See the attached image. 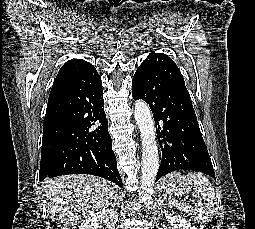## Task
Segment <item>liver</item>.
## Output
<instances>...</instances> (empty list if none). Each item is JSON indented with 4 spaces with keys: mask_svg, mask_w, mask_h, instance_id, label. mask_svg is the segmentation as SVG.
Returning <instances> with one entry per match:
<instances>
[{
    "mask_svg": "<svg viewBox=\"0 0 255 229\" xmlns=\"http://www.w3.org/2000/svg\"><path fill=\"white\" fill-rule=\"evenodd\" d=\"M42 191L47 211L63 229H75L87 216L108 208L118 193L112 182L84 174L48 179Z\"/></svg>",
    "mask_w": 255,
    "mask_h": 229,
    "instance_id": "obj_1",
    "label": "liver"
}]
</instances>
